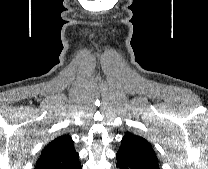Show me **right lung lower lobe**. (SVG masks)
Listing matches in <instances>:
<instances>
[{
    "label": "right lung lower lobe",
    "instance_id": "right-lung-lower-lobe-1",
    "mask_svg": "<svg viewBox=\"0 0 208 169\" xmlns=\"http://www.w3.org/2000/svg\"><path fill=\"white\" fill-rule=\"evenodd\" d=\"M63 169H81L79 159L73 162L71 165L63 167Z\"/></svg>",
    "mask_w": 208,
    "mask_h": 169
}]
</instances>
